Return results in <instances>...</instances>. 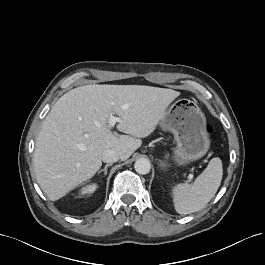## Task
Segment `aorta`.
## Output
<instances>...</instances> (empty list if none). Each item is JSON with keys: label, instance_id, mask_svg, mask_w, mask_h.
Here are the masks:
<instances>
[{"label": "aorta", "instance_id": "obj_1", "mask_svg": "<svg viewBox=\"0 0 265 265\" xmlns=\"http://www.w3.org/2000/svg\"><path fill=\"white\" fill-rule=\"evenodd\" d=\"M134 168L138 174L145 175V174H148L150 172L151 164H150L149 160H147L145 158H140V159L136 160V162L134 164Z\"/></svg>", "mask_w": 265, "mask_h": 265}]
</instances>
